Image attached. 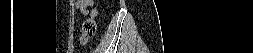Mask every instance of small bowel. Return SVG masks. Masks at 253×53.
<instances>
[{
    "mask_svg": "<svg viewBox=\"0 0 253 53\" xmlns=\"http://www.w3.org/2000/svg\"><path fill=\"white\" fill-rule=\"evenodd\" d=\"M94 1L92 0H76L75 1V9L80 12H86L88 7L92 6Z\"/></svg>",
    "mask_w": 253,
    "mask_h": 53,
    "instance_id": "small-bowel-1",
    "label": "small bowel"
}]
</instances>
